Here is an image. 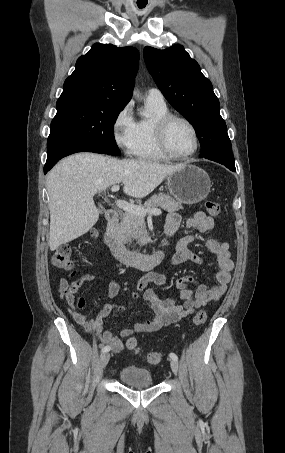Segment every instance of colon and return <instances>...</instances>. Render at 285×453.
Listing matches in <instances>:
<instances>
[{
  "instance_id": "colon-1",
  "label": "colon",
  "mask_w": 285,
  "mask_h": 453,
  "mask_svg": "<svg viewBox=\"0 0 285 453\" xmlns=\"http://www.w3.org/2000/svg\"><path fill=\"white\" fill-rule=\"evenodd\" d=\"M205 207L208 213L212 216H217L221 212V206L218 202L208 200L205 202ZM95 235V232H92ZM51 263L54 267L66 271H72L74 269V259L72 256L71 247L68 245H63L59 247L51 257ZM207 320V312L203 309L198 310L194 316V323L196 325H202ZM126 346L129 350L137 352L138 344L137 340L134 337L128 338ZM162 360V354L159 352H150L147 355V362L151 365H157Z\"/></svg>"
}]
</instances>
